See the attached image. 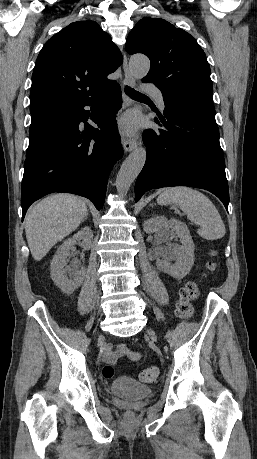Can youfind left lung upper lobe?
Here are the masks:
<instances>
[{"label": "left lung upper lobe", "instance_id": "5c2ea615", "mask_svg": "<svg viewBox=\"0 0 257 459\" xmlns=\"http://www.w3.org/2000/svg\"><path fill=\"white\" fill-rule=\"evenodd\" d=\"M126 51L149 57L151 67L143 82L154 83L162 94H213L204 51L189 33L168 21L141 19L128 35Z\"/></svg>", "mask_w": 257, "mask_h": 459}]
</instances>
